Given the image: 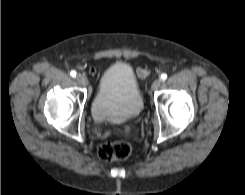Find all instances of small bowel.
<instances>
[{
	"instance_id": "small-bowel-1",
	"label": "small bowel",
	"mask_w": 245,
	"mask_h": 195,
	"mask_svg": "<svg viewBox=\"0 0 245 195\" xmlns=\"http://www.w3.org/2000/svg\"><path fill=\"white\" fill-rule=\"evenodd\" d=\"M92 72H93V70H92ZM138 75L143 78L147 75V71L144 69H138Z\"/></svg>"
}]
</instances>
